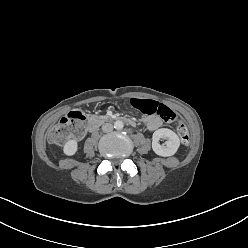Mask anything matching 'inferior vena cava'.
<instances>
[{
  "instance_id": "inferior-vena-cava-1",
  "label": "inferior vena cava",
  "mask_w": 248,
  "mask_h": 248,
  "mask_svg": "<svg viewBox=\"0 0 248 248\" xmlns=\"http://www.w3.org/2000/svg\"><path fill=\"white\" fill-rule=\"evenodd\" d=\"M113 130V125L111 123H105L102 126V131L105 133L111 132Z\"/></svg>"
}]
</instances>
